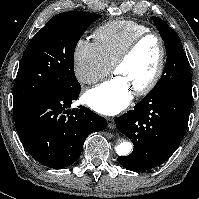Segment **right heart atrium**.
Here are the masks:
<instances>
[{
  "label": "right heart atrium",
  "instance_id": "1",
  "mask_svg": "<svg viewBox=\"0 0 199 199\" xmlns=\"http://www.w3.org/2000/svg\"><path fill=\"white\" fill-rule=\"evenodd\" d=\"M73 67L81 84H94L107 76L111 66L100 53L95 42L79 39L74 47Z\"/></svg>",
  "mask_w": 199,
  "mask_h": 199
}]
</instances>
